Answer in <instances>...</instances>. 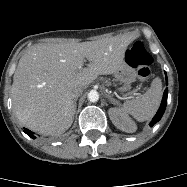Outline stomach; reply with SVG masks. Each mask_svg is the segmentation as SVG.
<instances>
[{"label": "stomach", "instance_id": "stomach-1", "mask_svg": "<svg viewBox=\"0 0 187 187\" xmlns=\"http://www.w3.org/2000/svg\"><path fill=\"white\" fill-rule=\"evenodd\" d=\"M114 76L120 83L123 84V87L119 90L121 92H126L131 88V83L136 80L137 73L133 67L124 61V64L114 73Z\"/></svg>", "mask_w": 187, "mask_h": 187}]
</instances>
